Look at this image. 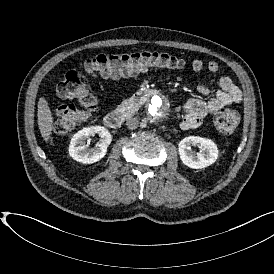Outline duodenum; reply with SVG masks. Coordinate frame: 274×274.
Here are the masks:
<instances>
[{"mask_svg": "<svg viewBox=\"0 0 274 274\" xmlns=\"http://www.w3.org/2000/svg\"><path fill=\"white\" fill-rule=\"evenodd\" d=\"M153 95L154 92L152 90L144 91L135 96L131 102L125 104L123 107L107 112L104 116V124L111 129L119 128L131 114L128 109L129 105H141L148 101Z\"/></svg>", "mask_w": 274, "mask_h": 274, "instance_id": "1", "label": "duodenum"}]
</instances>
